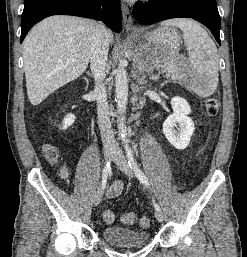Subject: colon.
<instances>
[{"label": "colon", "instance_id": "1", "mask_svg": "<svg viewBox=\"0 0 247 257\" xmlns=\"http://www.w3.org/2000/svg\"><path fill=\"white\" fill-rule=\"evenodd\" d=\"M205 107L207 115L210 117L217 116L219 112V97L217 95H212L205 101ZM43 154L47 159L55 158L58 154V150L55 146L46 144L43 147ZM103 220L106 223H111L114 220V214L111 210L105 209L102 213ZM135 221V216L133 213H125L122 216V222L124 224L130 225ZM141 227L148 228L150 226V220L147 216H142L139 220Z\"/></svg>", "mask_w": 247, "mask_h": 257}]
</instances>
